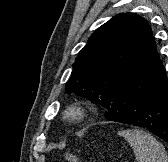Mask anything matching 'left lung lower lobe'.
<instances>
[{
  "label": "left lung lower lobe",
  "instance_id": "1",
  "mask_svg": "<svg viewBox=\"0 0 168 162\" xmlns=\"http://www.w3.org/2000/svg\"><path fill=\"white\" fill-rule=\"evenodd\" d=\"M156 48L115 87L105 118L145 128L168 142V80Z\"/></svg>",
  "mask_w": 168,
  "mask_h": 162
}]
</instances>
